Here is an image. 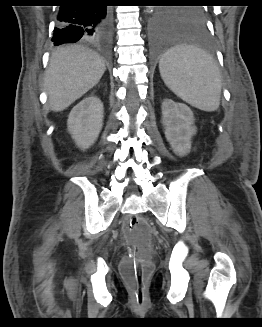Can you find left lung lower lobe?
Wrapping results in <instances>:
<instances>
[{"instance_id": "obj_1", "label": "left lung lower lobe", "mask_w": 262, "mask_h": 327, "mask_svg": "<svg viewBox=\"0 0 262 327\" xmlns=\"http://www.w3.org/2000/svg\"><path fill=\"white\" fill-rule=\"evenodd\" d=\"M167 11H160L150 25L149 45L152 53H163L184 43L193 44L196 48H209L210 37L204 23L181 24L173 20Z\"/></svg>"}]
</instances>
